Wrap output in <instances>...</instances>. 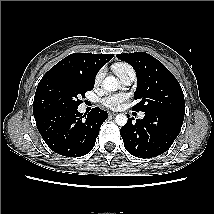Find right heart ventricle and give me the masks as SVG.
<instances>
[{"mask_svg": "<svg viewBox=\"0 0 214 214\" xmlns=\"http://www.w3.org/2000/svg\"><path fill=\"white\" fill-rule=\"evenodd\" d=\"M130 67L129 65L125 64V63H117L113 66V70L115 72V74H118V72L124 68H128Z\"/></svg>", "mask_w": 214, "mask_h": 214, "instance_id": "obj_1", "label": "right heart ventricle"}]
</instances>
